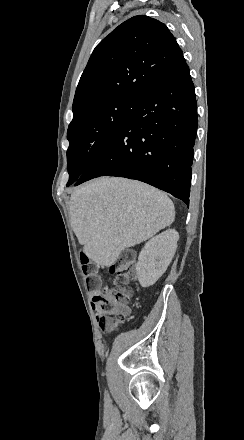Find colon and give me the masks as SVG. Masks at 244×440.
Masks as SVG:
<instances>
[{
    "instance_id": "1",
    "label": "colon",
    "mask_w": 244,
    "mask_h": 440,
    "mask_svg": "<svg viewBox=\"0 0 244 440\" xmlns=\"http://www.w3.org/2000/svg\"><path fill=\"white\" fill-rule=\"evenodd\" d=\"M134 253L133 248H122L120 251L121 260L112 265V272L121 276L123 284H126L129 277L136 272L137 265L133 257ZM81 271H84L88 283L87 293H94L100 282L99 275L94 273V271H98V262H81ZM130 296L131 292L126 287L115 290L105 287L102 292L94 296L96 304L93 310L97 313V317L101 318L102 329L111 328L127 318L128 314H131V305H126Z\"/></svg>"
}]
</instances>
